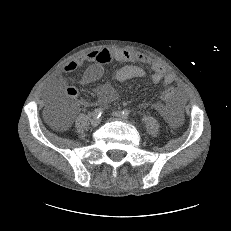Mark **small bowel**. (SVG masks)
Segmentation results:
<instances>
[{
	"label": "small bowel",
	"mask_w": 231,
	"mask_h": 231,
	"mask_svg": "<svg viewBox=\"0 0 231 231\" xmlns=\"http://www.w3.org/2000/svg\"><path fill=\"white\" fill-rule=\"evenodd\" d=\"M112 60L129 63L115 72L114 77L119 82H125L135 78H146L148 74L144 66H148L151 69L152 73L150 77L155 84L163 83L167 85L176 80L174 75L168 73L163 65L153 62L148 56L121 49H102L88 52L80 58L65 64L62 71L71 73L76 71L85 62L90 63L80 79L82 85H88L102 77L104 65ZM53 86L55 91L64 90L71 98L77 95V89L75 87L65 86L60 80H56ZM96 93L98 102L102 105L109 104L118 99L117 91L108 84L98 87ZM157 110L168 120L171 126L176 127L179 124L180 114L175 102H169L167 105H157ZM66 125L67 120L61 123V127H65Z\"/></svg>",
	"instance_id": "obj_1"
}]
</instances>
